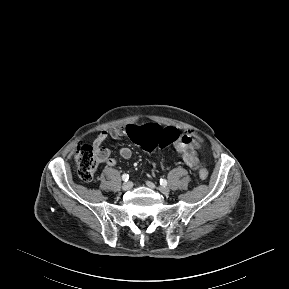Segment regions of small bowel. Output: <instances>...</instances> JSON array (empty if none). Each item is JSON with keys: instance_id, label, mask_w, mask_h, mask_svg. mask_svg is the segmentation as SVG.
Listing matches in <instances>:
<instances>
[{"instance_id": "small-bowel-1", "label": "small bowel", "mask_w": 289, "mask_h": 289, "mask_svg": "<svg viewBox=\"0 0 289 289\" xmlns=\"http://www.w3.org/2000/svg\"><path fill=\"white\" fill-rule=\"evenodd\" d=\"M128 136V128H114L109 131H101L94 141L95 147L100 152L101 162H105L108 166H114L116 164L115 159L110 157V152L106 148H102L101 144L107 139H122ZM203 139L194 132H187L175 142L176 151L182 156L186 164L192 169H197L199 159L197 156V150L202 144ZM119 155L125 160H129L132 157V151L129 147H121L119 149Z\"/></svg>"}]
</instances>
